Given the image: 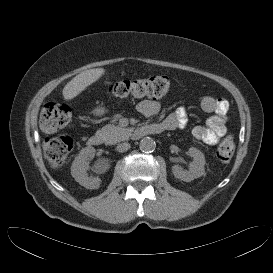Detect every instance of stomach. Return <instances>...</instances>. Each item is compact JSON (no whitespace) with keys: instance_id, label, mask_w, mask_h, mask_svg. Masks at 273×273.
<instances>
[{"instance_id":"obj_1","label":"stomach","mask_w":273,"mask_h":273,"mask_svg":"<svg viewBox=\"0 0 273 273\" xmlns=\"http://www.w3.org/2000/svg\"><path fill=\"white\" fill-rule=\"evenodd\" d=\"M107 110L104 107H98L95 109L96 115H103Z\"/></svg>"}]
</instances>
